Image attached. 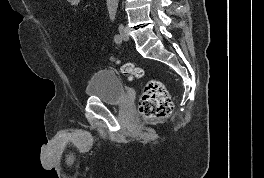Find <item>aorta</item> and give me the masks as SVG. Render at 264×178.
I'll return each instance as SVG.
<instances>
[{"label":"aorta","mask_w":264,"mask_h":178,"mask_svg":"<svg viewBox=\"0 0 264 178\" xmlns=\"http://www.w3.org/2000/svg\"><path fill=\"white\" fill-rule=\"evenodd\" d=\"M119 0H107V8L109 12H115L118 7Z\"/></svg>","instance_id":"1"}]
</instances>
